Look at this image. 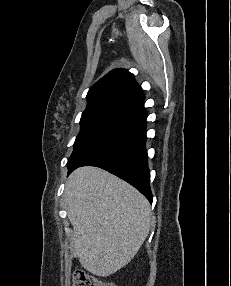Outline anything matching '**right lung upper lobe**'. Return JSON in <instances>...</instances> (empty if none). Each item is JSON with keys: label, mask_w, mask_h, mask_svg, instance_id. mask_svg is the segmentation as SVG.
Here are the masks:
<instances>
[{"label": "right lung upper lobe", "mask_w": 231, "mask_h": 286, "mask_svg": "<svg viewBox=\"0 0 231 286\" xmlns=\"http://www.w3.org/2000/svg\"><path fill=\"white\" fill-rule=\"evenodd\" d=\"M87 99V107L113 104L138 111L144 101V94L130 72L115 69L93 85Z\"/></svg>", "instance_id": "obj_1"}]
</instances>
